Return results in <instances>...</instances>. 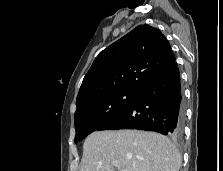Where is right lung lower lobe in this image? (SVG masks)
Returning a JSON list of instances; mask_svg holds the SVG:
<instances>
[{"label":"right lung lower lobe","instance_id":"98d812e1","mask_svg":"<svg viewBox=\"0 0 223 171\" xmlns=\"http://www.w3.org/2000/svg\"><path fill=\"white\" fill-rule=\"evenodd\" d=\"M183 122V93L175 62L143 87L123 111L98 130L139 129L180 138Z\"/></svg>","mask_w":223,"mask_h":171}]
</instances>
